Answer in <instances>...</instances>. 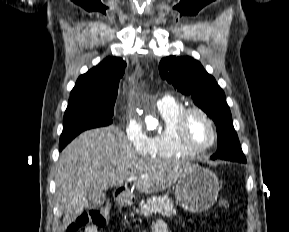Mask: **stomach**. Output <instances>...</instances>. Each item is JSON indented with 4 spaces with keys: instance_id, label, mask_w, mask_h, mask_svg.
I'll return each instance as SVG.
<instances>
[{
    "instance_id": "obj_1",
    "label": "stomach",
    "mask_w": 289,
    "mask_h": 232,
    "mask_svg": "<svg viewBox=\"0 0 289 232\" xmlns=\"http://www.w3.org/2000/svg\"><path fill=\"white\" fill-rule=\"evenodd\" d=\"M219 190V181L215 173L198 165H192L187 173L178 179L175 197L184 210L199 213L214 205Z\"/></svg>"
}]
</instances>
